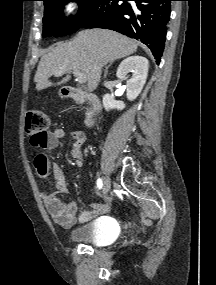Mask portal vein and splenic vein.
Segmentation results:
<instances>
[{"instance_id": "portal-vein-and-splenic-vein-1", "label": "portal vein and splenic vein", "mask_w": 216, "mask_h": 285, "mask_svg": "<svg viewBox=\"0 0 216 285\" xmlns=\"http://www.w3.org/2000/svg\"><path fill=\"white\" fill-rule=\"evenodd\" d=\"M63 73H64V70H60L57 73H55V76H60ZM73 74L77 78V81L80 84H83L87 81L86 75L84 73L80 72L79 70H77V69L73 70Z\"/></svg>"}]
</instances>
